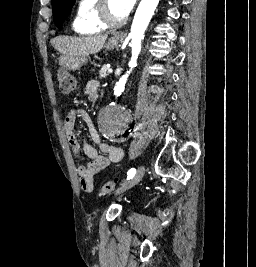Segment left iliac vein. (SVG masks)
<instances>
[{
	"instance_id": "obj_1",
	"label": "left iliac vein",
	"mask_w": 256,
	"mask_h": 267,
	"mask_svg": "<svg viewBox=\"0 0 256 267\" xmlns=\"http://www.w3.org/2000/svg\"><path fill=\"white\" fill-rule=\"evenodd\" d=\"M146 172V168L144 165H141L138 167L135 175L127 182H125L124 184H122L116 191L115 194H121L122 192L130 189L131 187H133L134 185H136L143 177V175Z\"/></svg>"
}]
</instances>
